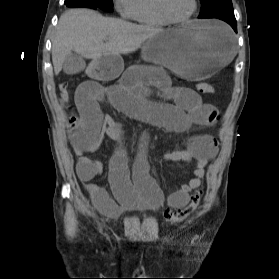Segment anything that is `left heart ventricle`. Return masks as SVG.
I'll return each instance as SVG.
<instances>
[{
    "instance_id": "obj_1",
    "label": "left heart ventricle",
    "mask_w": 279,
    "mask_h": 279,
    "mask_svg": "<svg viewBox=\"0 0 279 279\" xmlns=\"http://www.w3.org/2000/svg\"><path fill=\"white\" fill-rule=\"evenodd\" d=\"M168 12L176 18H181L192 10L193 0H165Z\"/></svg>"
}]
</instances>
